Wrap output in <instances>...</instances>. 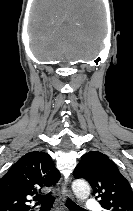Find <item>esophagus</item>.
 I'll use <instances>...</instances> for the list:
<instances>
[{"instance_id": "1", "label": "esophagus", "mask_w": 133, "mask_h": 211, "mask_svg": "<svg viewBox=\"0 0 133 211\" xmlns=\"http://www.w3.org/2000/svg\"><path fill=\"white\" fill-rule=\"evenodd\" d=\"M61 196L64 202H66L68 198L73 199L71 191L67 188L65 184L62 185Z\"/></svg>"}]
</instances>
